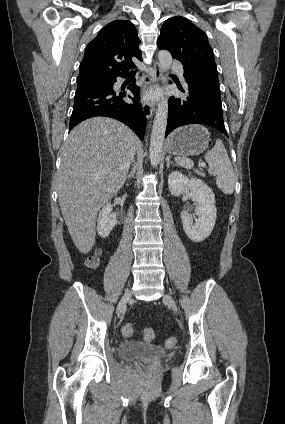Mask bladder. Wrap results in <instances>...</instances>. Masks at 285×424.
<instances>
[{
  "label": "bladder",
  "instance_id": "1",
  "mask_svg": "<svg viewBox=\"0 0 285 424\" xmlns=\"http://www.w3.org/2000/svg\"><path fill=\"white\" fill-rule=\"evenodd\" d=\"M119 355L124 359H147L155 357L171 358V352L153 344L125 341L119 346Z\"/></svg>",
  "mask_w": 285,
  "mask_h": 424
}]
</instances>
